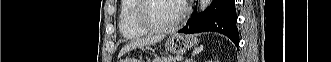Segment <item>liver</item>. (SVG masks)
I'll return each mask as SVG.
<instances>
[{
  "label": "liver",
  "mask_w": 331,
  "mask_h": 62,
  "mask_svg": "<svg viewBox=\"0 0 331 62\" xmlns=\"http://www.w3.org/2000/svg\"><path fill=\"white\" fill-rule=\"evenodd\" d=\"M163 38H164V35H158V36L146 37V38L135 40V41L127 44L124 48H122L119 55H123L124 53L129 52L130 50L140 47V46L156 44V43L160 42Z\"/></svg>",
  "instance_id": "liver-1"
}]
</instances>
